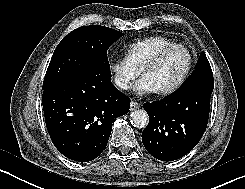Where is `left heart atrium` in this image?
<instances>
[{"mask_svg":"<svg viewBox=\"0 0 245 189\" xmlns=\"http://www.w3.org/2000/svg\"><path fill=\"white\" fill-rule=\"evenodd\" d=\"M135 91L140 95H147L156 93L157 90L149 83V81L142 77L135 85Z\"/></svg>","mask_w":245,"mask_h":189,"instance_id":"1","label":"left heart atrium"}]
</instances>
